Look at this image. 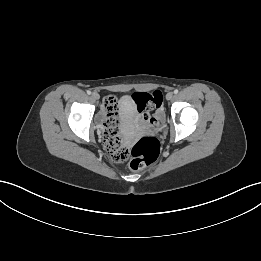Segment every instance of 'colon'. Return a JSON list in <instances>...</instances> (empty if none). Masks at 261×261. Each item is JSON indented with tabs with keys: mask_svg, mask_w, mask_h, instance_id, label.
I'll return each mask as SVG.
<instances>
[{
	"mask_svg": "<svg viewBox=\"0 0 261 261\" xmlns=\"http://www.w3.org/2000/svg\"><path fill=\"white\" fill-rule=\"evenodd\" d=\"M135 105V114L146 126L158 128L163 120L164 108L162 94L156 90L153 92H135L132 95ZM106 112L105 128L103 131L104 144L107 152L114 162L121 163L129 161L133 170H142L152 164L159 155L160 143L154 137H143L132 147H128L118 130L119 117L117 103L114 97L104 100Z\"/></svg>",
	"mask_w": 261,
	"mask_h": 261,
	"instance_id": "1",
	"label": "colon"
}]
</instances>
